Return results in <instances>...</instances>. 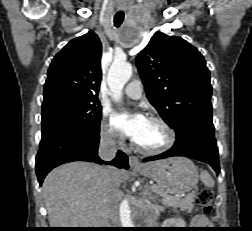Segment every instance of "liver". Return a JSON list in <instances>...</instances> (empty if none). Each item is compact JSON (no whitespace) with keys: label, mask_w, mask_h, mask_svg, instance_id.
I'll return each mask as SVG.
<instances>
[{"label":"liver","mask_w":252,"mask_h":231,"mask_svg":"<svg viewBox=\"0 0 252 231\" xmlns=\"http://www.w3.org/2000/svg\"><path fill=\"white\" fill-rule=\"evenodd\" d=\"M125 172L112 174L120 186ZM109 173L87 162H71L52 170L43 196L51 228H104L109 219Z\"/></svg>","instance_id":"1"}]
</instances>
